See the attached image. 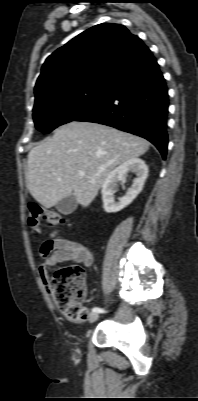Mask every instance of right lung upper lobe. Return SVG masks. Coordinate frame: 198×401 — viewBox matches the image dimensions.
I'll list each match as a JSON object with an SVG mask.
<instances>
[{"mask_svg": "<svg viewBox=\"0 0 198 401\" xmlns=\"http://www.w3.org/2000/svg\"><path fill=\"white\" fill-rule=\"evenodd\" d=\"M149 52L123 25L93 26L46 59L36 82L35 100L86 83H110Z\"/></svg>", "mask_w": 198, "mask_h": 401, "instance_id": "right-lung-upper-lobe-1", "label": "right lung upper lobe"}]
</instances>
